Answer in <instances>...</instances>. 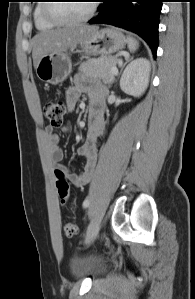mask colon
Wrapping results in <instances>:
<instances>
[{
	"mask_svg": "<svg viewBox=\"0 0 195 299\" xmlns=\"http://www.w3.org/2000/svg\"><path fill=\"white\" fill-rule=\"evenodd\" d=\"M66 112V105L62 101L50 100L43 106V114L52 126L58 127L63 122V117ZM56 189L59 201L65 205L69 197V185L63 172L56 170ZM66 235L73 236L78 231V226L74 222H67L64 225Z\"/></svg>",
	"mask_w": 195,
	"mask_h": 299,
	"instance_id": "1",
	"label": "colon"
}]
</instances>
